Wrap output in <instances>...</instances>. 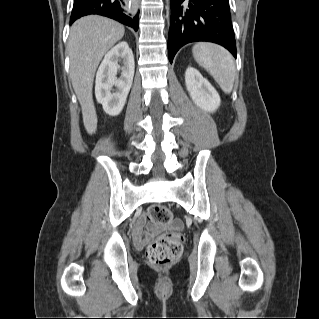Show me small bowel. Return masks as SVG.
I'll list each match as a JSON object with an SVG mask.
<instances>
[{"label":"small bowel","mask_w":319,"mask_h":319,"mask_svg":"<svg viewBox=\"0 0 319 319\" xmlns=\"http://www.w3.org/2000/svg\"><path fill=\"white\" fill-rule=\"evenodd\" d=\"M171 228L178 231L181 229V226L178 222H175ZM159 230V226L150 224L145 217H140L134 224L132 231L135 239L142 240L152 238ZM144 232H148L147 237H143Z\"/></svg>","instance_id":"small-bowel-1"}]
</instances>
